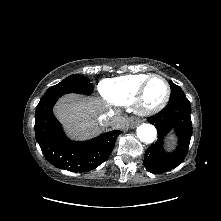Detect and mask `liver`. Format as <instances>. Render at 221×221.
<instances>
[{
	"label": "liver",
	"instance_id": "liver-1",
	"mask_svg": "<svg viewBox=\"0 0 221 221\" xmlns=\"http://www.w3.org/2000/svg\"><path fill=\"white\" fill-rule=\"evenodd\" d=\"M108 111V105L93 97L71 94L59 100L54 108L55 116L64 125L67 133L75 139H89L103 130L99 115ZM111 125L114 128L126 126V119L115 116Z\"/></svg>",
	"mask_w": 221,
	"mask_h": 221
}]
</instances>
